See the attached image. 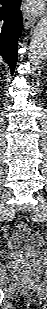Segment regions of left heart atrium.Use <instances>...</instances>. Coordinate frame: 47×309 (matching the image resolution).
Here are the masks:
<instances>
[{"label":"left heart atrium","instance_id":"obj_1","mask_svg":"<svg viewBox=\"0 0 47 309\" xmlns=\"http://www.w3.org/2000/svg\"><path fill=\"white\" fill-rule=\"evenodd\" d=\"M41 5V0H29L28 6L31 11H38Z\"/></svg>","mask_w":47,"mask_h":309}]
</instances>
